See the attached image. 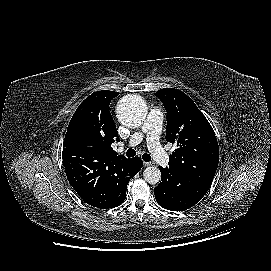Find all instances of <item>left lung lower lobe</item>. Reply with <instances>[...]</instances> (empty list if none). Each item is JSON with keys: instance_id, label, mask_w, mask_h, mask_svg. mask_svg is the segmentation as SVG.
Masks as SVG:
<instances>
[{"instance_id": "0a47b994", "label": "left lung lower lobe", "mask_w": 271, "mask_h": 271, "mask_svg": "<svg viewBox=\"0 0 271 271\" xmlns=\"http://www.w3.org/2000/svg\"><path fill=\"white\" fill-rule=\"evenodd\" d=\"M161 181L154 188L160 206L171 211H183L194 206L209 190L208 185L186 173L172 168L159 167Z\"/></svg>"}]
</instances>
